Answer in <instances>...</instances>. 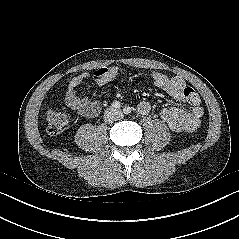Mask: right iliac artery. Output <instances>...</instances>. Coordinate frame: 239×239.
<instances>
[{
  "label": "right iliac artery",
  "mask_w": 239,
  "mask_h": 239,
  "mask_svg": "<svg viewBox=\"0 0 239 239\" xmlns=\"http://www.w3.org/2000/svg\"><path fill=\"white\" fill-rule=\"evenodd\" d=\"M112 107L115 108V109H120L121 104H120V102H118V101H114V102L112 103Z\"/></svg>",
  "instance_id": "1"
}]
</instances>
